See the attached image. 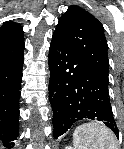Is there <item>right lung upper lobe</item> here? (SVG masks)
Returning a JSON list of instances; mask_svg holds the SVG:
<instances>
[{"label":"right lung upper lobe","instance_id":"right-lung-upper-lobe-1","mask_svg":"<svg viewBox=\"0 0 124 149\" xmlns=\"http://www.w3.org/2000/svg\"><path fill=\"white\" fill-rule=\"evenodd\" d=\"M22 38V28L15 22H7L0 28V44L16 42Z\"/></svg>","mask_w":124,"mask_h":149}]
</instances>
